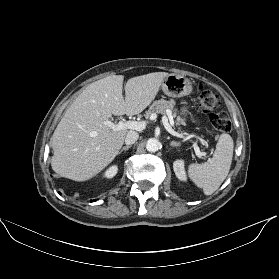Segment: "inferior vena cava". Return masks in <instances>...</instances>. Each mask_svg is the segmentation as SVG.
Masks as SVG:
<instances>
[{"instance_id":"obj_1","label":"inferior vena cava","mask_w":279,"mask_h":279,"mask_svg":"<svg viewBox=\"0 0 279 279\" xmlns=\"http://www.w3.org/2000/svg\"><path fill=\"white\" fill-rule=\"evenodd\" d=\"M138 138H139L138 132L130 130L126 134L125 143L127 145H132L138 140Z\"/></svg>"}]
</instances>
